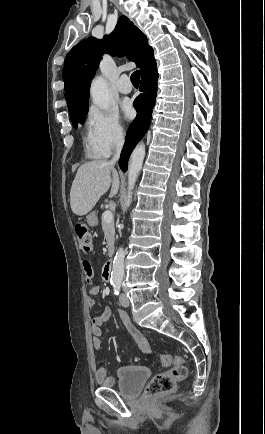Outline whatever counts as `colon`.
Segmentation results:
<instances>
[{
	"mask_svg": "<svg viewBox=\"0 0 265 434\" xmlns=\"http://www.w3.org/2000/svg\"><path fill=\"white\" fill-rule=\"evenodd\" d=\"M78 238L80 250L87 255L95 251L93 235L85 223L77 222L74 226ZM85 275L88 281L94 275V268L90 263L85 262ZM161 365H173L169 371L155 374L146 387L148 395L168 393L175 390L177 384L187 377V368L179 356L165 355L160 357Z\"/></svg>",
	"mask_w": 265,
	"mask_h": 434,
	"instance_id": "1",
	"label": "colon"
}]
</instances>
